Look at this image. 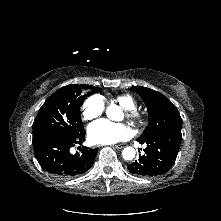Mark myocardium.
I'll use <instances>...</instances> for the list:
<instances>
[{"label":"myocardium","instance_id":"f54148a6","mask_svg":"<svg viewBox=\"0 0 221 221\" xmlns=\"http://www.w3.org/2000/svg\"><path fill=\"white\" fill-rule=\"evenodd\" d=\"M126 117L131 121H137L141 118V114L138 111L132 109L126 111Z\"/></svg>","mask_w":221,"mask_h":221}]
</instances>
